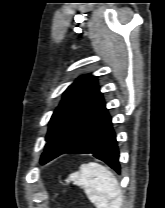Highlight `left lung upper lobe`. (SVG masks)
Instances as JSON below:
<instances>
[{
	"mask_svg": "<svg viewBox=\"0 0 165 208\" xmlns=\"http://www.w3.org/2000/svg\"><path fill=\"white\" fill-rule=\"evenodd\" d=\"M96 78L92 75L81 76L64 92L49 122L48 143L41 164L66 153L82 126L104 106Z\"/></svg>",
	"mask_w": 165,
	"mask_h": 208,
	"instance_id": "left-lung-upper-lobe-1",
	"label": "left lung upper lobe"
}]
</instances>
